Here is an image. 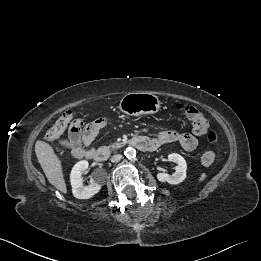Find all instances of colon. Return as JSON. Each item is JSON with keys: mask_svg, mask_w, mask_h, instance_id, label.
<instances>
[{"mask_svg": "<svg viewBox=\"0 0 261 261\" xmlns=\"http://www.w3.org/2000/svg\"><path fill=\"white\" fill-rule=\"evenodd\" d=\"M181 109L189 120L195 134H207L209 142L211 144L216 143L218 134L209 129L208 120L197 108L185 106L181 107ZM83 124V121L76 118L72 112H66L60 117L57 123L46 132L45 139L48 141L58 139L68 128L70 140L77 141L80 137ZM215 159V152L213 150H208L201 155L200 161L204 166H209L214 163Z\"/></svg>", "mask_w": 261, "mask_h": 261, "instance_id": "colon-1", "label": "colon"}]
</instances>
